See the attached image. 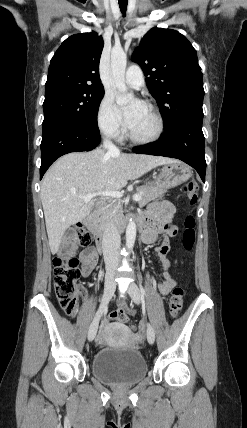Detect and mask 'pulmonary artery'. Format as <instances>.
Here are the masks:
<instances>
[{
	"instance_id": "1",
	"label": "pulmonary artery",
	"mask_w": 247,
	"mask_h": 428,
	"mask_svg": "<svg viewBox=\"0 0 247 428\" xmlns=\"http://www.w3.org/2000/svg\"><path fill=\"white\" fill-rule=\"evenodd\" d=\"M125 82L131 88H141L144 85V77L138 66H130L125 74Z\"/></svg>"
}]
</instances>
